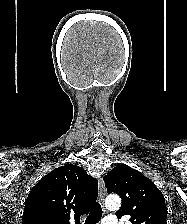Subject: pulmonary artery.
Wrapping results in <instances>:
<instances>
[{"label": "pulmonary artery", "instance_id": "e3ab8cb5", "mask_svg": "<svg viewBox=\"0 0 187 224\" xmlns=\"http://www.w3.org/2000/svg\"><path fill=\"white\" fill-rule=\"evenodd\" d=\"M102 224H117V220L114 217L109 216L104 219Z\"/></svg>", "mask_w": 187, "mask_h": 224}]
</instances>
